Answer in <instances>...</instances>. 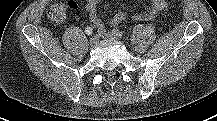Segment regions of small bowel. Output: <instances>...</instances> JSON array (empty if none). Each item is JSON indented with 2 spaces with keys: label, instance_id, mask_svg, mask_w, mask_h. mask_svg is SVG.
Wrapping results in <instances>:
<instances>
[{
  "label": "small bowel",
  "instance_id": "1",
  "mask_svg": "<svg viewBox=\"0 0 217 121\" xmlns=\"http://www.w3.org/2000/svg\"><path fill=\"white\" fill-rule=\"evenodd\" d=\"M102 0H88L86 4V11L90 17L91 26L94 29L101 30L104 28L102 20L98 17L97 14V6ZM68 6L71 9L77 8L76 0H69ZM166 9V2L165 0H152V7L151 9L143 14H136L133 16L134 20L141 21V20H152L156 17V15L163 10ZM126 20V14L122 11H119L113 15L110 20V25L117 26L123 23Z\"/></svg>",
  "mask_w": 217,
  "mask_h": 121
}]
</instances>
